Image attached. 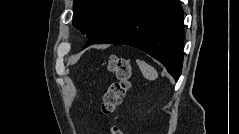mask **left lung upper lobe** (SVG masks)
<instances>
[{
	"instance_id": "obj_1",
	"label": "left lung upper lobe",
	"mask_w": 239,
	"mask_h": 134,
	"mask_svg": "<svg viewBox=\"0 0 239 134\" xmlns=\"http://www.w3.org/2000/svg\"><path fill=\"white\" fill-rule=\"evenodd\" d=\"M123 0H74L73 26L87 37L101 30Z\"/></svg>"
}]
</instances>
